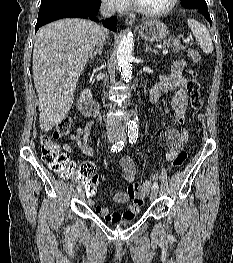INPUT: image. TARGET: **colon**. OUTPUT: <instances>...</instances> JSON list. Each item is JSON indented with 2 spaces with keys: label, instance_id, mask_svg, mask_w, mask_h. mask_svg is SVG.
Masks as SVG:
<instances>
[{
  "label": "colon",
  "instance_id": "obj_1",
  "mask_svg": "<svg viewBox=\"0 0 233 263\" xmlns=\"http://www.w3.org/2000/svg\"><path fill=\"white\" fill-rule=\"evenodd\" d=\"M188 55L194 63L200 61V54L194 49L188 50ZM192 79L188 85V91L191 97V107L193 109H199L202 105L200 93H199V83L197 78L200 76V71L194 69L191 71ZM73 126V121L71 117L62 118L54 127L50 135H43L41 137V153L42 159L49 169L55 173L62 174L61 180H70V173L72 171L73 165L69 160L68 156L63 153L58 144V139L70 133ZM186 153L180 152L172 161L171 169H178L186 161ZM157 175L153 174L149 177L148 181L151 182ZM72 180L76 183H84L85 190H80V195H93L96 191V180L97 171H75L74 175L71 176Z\"/></svg>",
  "mask_w": 233,
  "mask_h": 263
}]
</instances>
